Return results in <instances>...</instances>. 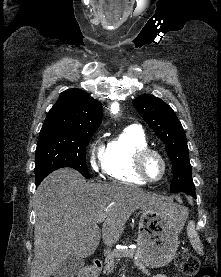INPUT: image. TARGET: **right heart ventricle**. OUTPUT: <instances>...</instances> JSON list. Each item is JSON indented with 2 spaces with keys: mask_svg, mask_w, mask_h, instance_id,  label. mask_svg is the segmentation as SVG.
I'll use <instances>...</instances> for the list:
<instances>
[{
  "mask_svg": "<svg viewBox=\"0 0 221 277\" xmlns=\"http://www.w3.org/2000/svg\"><path fill=\"white\" fill-rule=\"evenodd\" d=\"M146 147H149V142L141 128L137 126L126 128L111 138L104 148L102 157L104 173L115 181L143 184L144 181L135 172L134 158L139 150Z\"/></svg>",
  "mask_w": 221,
  "mask_h": 277,
  "instance_id": "obj_1",
  "label": "right heart ventricle"
}]
</instances>
